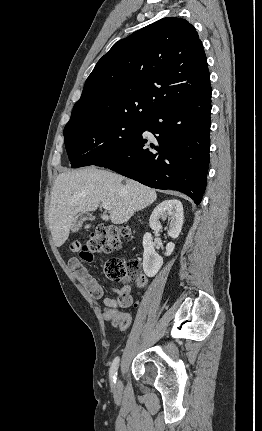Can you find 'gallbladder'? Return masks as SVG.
I'll return each instance as SVG.
<instances>
[{
    "label": "gallbladder",
    "mask_w": 262,
    "mask_h": 431,
    "mask_svg": "<svg viewBox=\"0 0 262 431\" xmlns=\"http://www.w3.org/2000/svg\"><path fill=\"white\" fill-rule=\"evenodd\" d=\"M87 219L93 220L94 217L91 214H88L86 212H82L78 214L72 223L71 231L74 233L78 232L79 229L81 228L82 223Z\"/></svg>",
    "instance_id": "bac80fb5"
}]
</instances>
